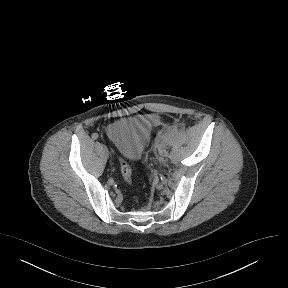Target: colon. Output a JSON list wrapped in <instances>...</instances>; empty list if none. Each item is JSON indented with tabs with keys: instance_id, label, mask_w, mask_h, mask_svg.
<instances>
[{
	"instance_id": "5ec220e1",
	"label": "colon",
	"mask_w": 288,
	"mask_h": 288,
	"mask_svg": "<svg viewBox=\"0 0 288 288\" xmlns=\"http://www.w3.org/2000/svg\"><path fill=\"white\" fill-rule=\"evenodd\" d=\"M120 168H121V176H122V178L128 184H130L132 182V175H133L131 167L128 165V163L126 161H122Z\"/></svg>"
}]
</instances>
